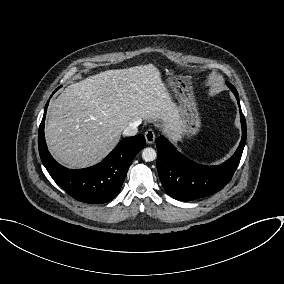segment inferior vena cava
<instances>
[{"label":"inferior vena cava","mask_w":284,"mask_h":284,"mask_svg":"<svg viewBox=\"0 0 284 284\" xmlns=\"http://www.w3.org/2000/svg\"><path fill=\"white\" fill-rule=\"evenodd\" d=\"M138 124L136 123H131L129 124L123 131V135L125 136H134L137 134L138 129H137Z\"/></svg>","instance_id":"1"}]
</instances>
